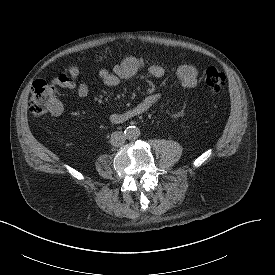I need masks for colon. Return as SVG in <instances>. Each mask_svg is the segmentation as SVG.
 Returning a JSON list of instances; mask_svg holds the SVG:
<instances>
[{
  "label": "colon",
  "mask_w": 275,
  "mask_h": 275,
  "mask_svg": "<svg viewBox=\"0 0 275 275\" xmlns=\"http://www.w3.org/2000/svg\"><path fill=\"white\" fill-rule=\"evenodd\" d=\"M205 84L212 93L220 92L225 86V74L215 67L205 71ZM57 106L56 88L45 80H36L31 88L30 112L41 117Z\"/></svg>",
  "instance_id": "obj_1"
}]
</instances>
